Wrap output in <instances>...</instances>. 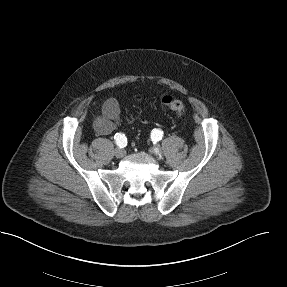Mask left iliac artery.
<instances>
[{
    "label": "left iliac artery",
    "mask_w": 287,
    "mask_h": 287,
    "mask_svg": "<svg viewBox=\"0 0 287 287\" xmlns=\"http://www.w3.org/2000/svg\"><path fill=\"white\" fill-rule=\"evenodd\" d=\"M163 137V131H161L160 129H153L151 132V139L152 141H154L155 143L157 141H160Z\"/></svg>",
    "instance_id": "1"
}]
</instances>
